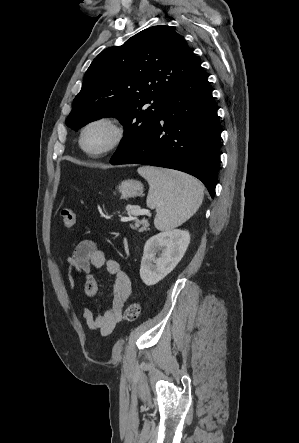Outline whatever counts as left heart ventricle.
<instances>
[{
    "label": "left heart ventricle",
    "instance_id": "1",
    "mask_svg": "<svg viewBox=\"0 0 299 443\" xmlns=\"http://www.w3.org/2000/svg\"><path fill=\"white\" fill-rule=\"evenodd\" d=\"M113 130L105 124L95 125L85 136V146L92 151L105 148L113 139Z\"/></svg>",
    "mask_w": 299,
    "mask_h": 443
}]
</instances>
